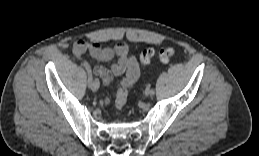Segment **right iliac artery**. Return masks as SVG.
<instances>
[{
	"mask_svg": "<svg viewBox=\"0 0 259 156\" xmlns=\"http://www.w3.org/2000/svg\"><path fill=\"white\" fill-rule=\"evenodd\" d=\"M83 65H84V67H85V69L87 70V73H88V83H87V86H91V83L93 81L91 67H90V65L88 64L87 61H83Z\"/></svg>",
	"mask_w": 259,
	"mask_h": 156,
	"instance_id": "82829eb1",
	"label": "right iliac artery"
}]
</instances>
